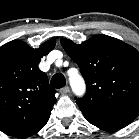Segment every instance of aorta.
I'll return each instance as SVG.
<instances>
[{
    "label": "aorta",
    "instance_id": "obj_1",
    "mask_svg": "<svg viewBox=\"0 0 139 139\" xmlns=\"http://www.w3.org/2000/svg\"><path fill=\"white\" fill-rule=\"evenodd\" d=\"M69 82H70L72 91L74 92L75 95L77 96L84 95L86 91V85H85L83 78L79 74L70 76Z\"/></svg>",
    "mask_w": 139,
    "mask_h": 139
}]
</instances>
